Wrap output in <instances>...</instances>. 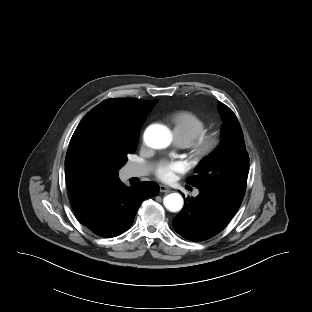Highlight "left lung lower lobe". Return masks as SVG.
I'll use <instances>...</instances> for the list:
<instances>
[{"mask_svg": "<svg viewBox=\"0 0 312 312\" xmlns=\"http://www.w3.org/2000/svg\"><path fill=\"white\" fill-rule=\"evenodd\" d=\"M198 189L199 195L186 199L183 209L173 219L175 231L185 239L196 242L207 240L222 231L240 207L218 191Z\"/></svg>", "mask_w": 312, "mask_h": 312, "instance_id": "1", "label": "left lung lower lobe"}]
</instances>
